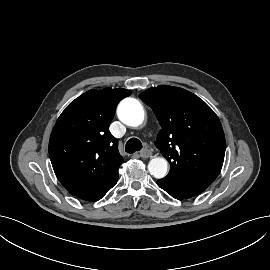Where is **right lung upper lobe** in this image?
<instances>
[{
	"mask_svg": "<svg viewBox=\"0 0 270 270\" xmlns=\"http://www.w3.org/2000/svg\"><path fill=\"white\" fill-rule=\"evenodd\" d=\"M126 89L89 90L59 116L49 140L54 172L71 194L97 189L118 176L123 158L108 128Z\"/></svg>",
	"mask_w": 270,
	"mask_h": 270,
	"instance_id": "1",
	"label": "right lung upper lobe"
}]
</instances>
